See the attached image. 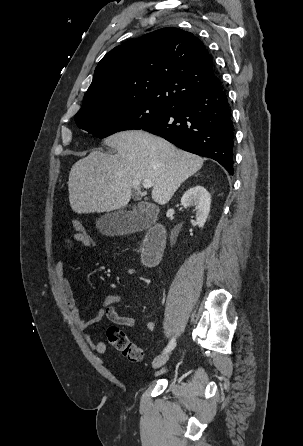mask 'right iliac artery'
Returning a JSON list of instances; mask_svg holds the SVG:
<instances>
[{
  "label": "right iliac artery",
  "mask_w": 303,
  "mask_h": 446,
  "mask_svg": "<svg viewBox=\"0 0 303 446\" xmlns=\"http://www.w3.org/2000/svg\"><path fill=\"white\" fill-rule=\"evenodd\" d=\"M175 346H176V340H175V338H172L170 340V342L168 343V345L166 346V348L164 349L163 353H168V352L172 351Z\"/></svg>",
  "instance_id": "obj_1"
}]
</instances>
